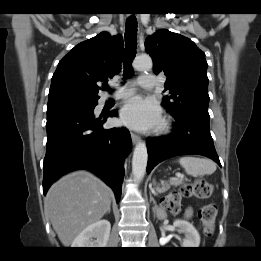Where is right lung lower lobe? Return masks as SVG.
<instances>
[{
  "mask_svg": "<svg viewBox=\"0 0 261 261\" xmlns=\"http://www.w3.org/2000/svg\"><path fill=\"white\" fill-rule=\"evenodd\" d=\"M94 109L63 110L47 115V145L43 164V193L60 176L86 169L109 185L120 201L124 160L131 150V137L126 128H102L106 117L95 118Z\"/></svg>",
  "mask_w": 261,
  "mask_h": 261,
  "instance_id": "98d812e1",
  "label": "right lung lower lobe"
}]
</instances>
